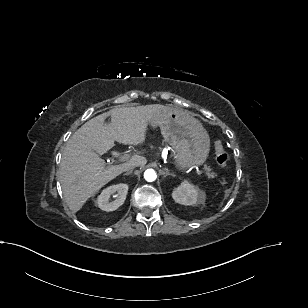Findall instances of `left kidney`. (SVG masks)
Listing matches in <instances>:
<instances>
[{
	"label": "left kidney",
	"mask_w": 308,
	"mask_h": 308,
	"mask_svg": "<svg viewBox=\"0 0 308 308\" xmlns=\"http://www.w3.org/2000/svg\"><path fill=\"white\" fill-rule=\"evenodd\" d=\"M172 197L175 202L182 205H195L204 200V194L188 181L182 182L179 187L174 189Z\"/></svg>",
	"instance_id": "5707ae66"
}]
</instances>
